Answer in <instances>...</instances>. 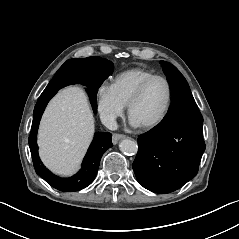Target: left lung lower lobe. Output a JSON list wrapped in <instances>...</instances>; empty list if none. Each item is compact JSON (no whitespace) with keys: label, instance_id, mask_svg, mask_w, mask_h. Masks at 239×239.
<instances>
[{"label":"left lung lower lobe","instance_id":"obj_1","mask_svg":"<svg viewBox=\"0 0 239 239\" xmlns=\"http://www.w3.org/2000/svg\"><path fill=\"white\" fill-rule=\"evenodd\" d=\"M204 150L203 117L186 93L172 99L165 118L139 136L132 167L144 188L170 193L196 176Z\"/></svg>","mask_w":239,"mask_h":239}]
</instances>
